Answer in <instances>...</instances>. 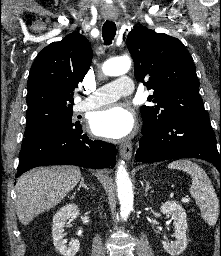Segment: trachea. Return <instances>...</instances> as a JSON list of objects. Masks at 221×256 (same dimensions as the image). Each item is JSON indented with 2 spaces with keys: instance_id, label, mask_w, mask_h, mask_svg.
<instances>
[{
  "instance_id": "1",
  "label": "trachea",
  "mask_w": 221,
  "mask_h": 256,
  "mask_svg": "<svg viewBox=\"0 0 221 256\" xmlns=\"http://www.w3.org/2000/svg\"><path fill=\"white\" fill-rule=\"evenodd\" d=\"M102 33L105 45H110L116 35L115 23L111 21H106L102 27Z\"/></svg>"
}]
</instances>
